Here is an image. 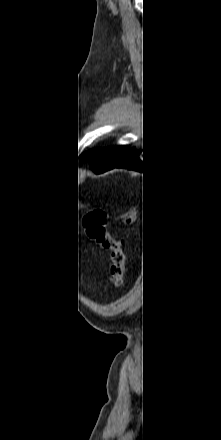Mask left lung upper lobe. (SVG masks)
<instances>
[{"label":"left lung upper lobe","instance_id":"5c2ea615","mask_svg":"<svg viewBox=\"0 0 221 440\" xmlns=\"http://www.w3.org/2000/svg\"><path fill=\"white\" fill-rule=\"evenodd\" d=\"M129 146H117L112 148H103L89 153V158L92 162V169L98 173L112 164L119 162L128 152Z\"/></svg>","mask_w":221,"mask_h":440}]
</instances>
